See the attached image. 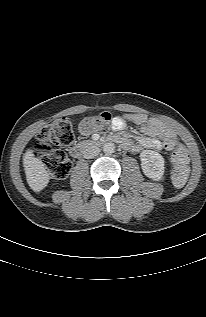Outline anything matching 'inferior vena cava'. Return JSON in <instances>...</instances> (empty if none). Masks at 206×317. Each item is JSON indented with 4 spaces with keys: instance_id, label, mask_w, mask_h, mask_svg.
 <instances>
[{
    "instance_id": "obj_1",
    "label": "inferior vena cava",
    "mask_w": 206,
    "mask_h": 317,
    "mask_svg": "<svg viewBox=\"0 0 206 317\" xmlns=\"http://www.w3.org/2000/svg\"><path fill=\"white\" fill-rule=\"evenodd\" d=\"M100 153V149L95 145H88L83 150V157L86 159H91Z\"/></svg>"
}]
</instances>
